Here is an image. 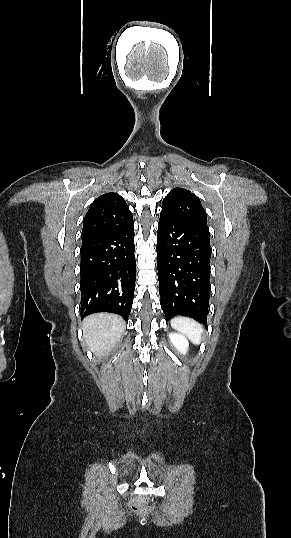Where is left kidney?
<instances>
[{"label": "left kidney", "instance_id": "obj_1", "mask_svg": "<svg viewBox=\"0 0 291 538\" xmlns=\"http://www.w3.org/2000/svg\"><path fill=\"white\" fill-rule=\"evenodd\" d=\"M169 338L172 344L183 354H185L189 349V342L185 336L178 333L169 334Z\"/></svg>", "mask_w": 291, "mask_h": 538}]
</instances>
